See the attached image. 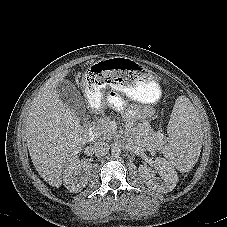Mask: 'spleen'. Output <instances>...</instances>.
Wrapping results in <instances>:
<instances>
[{
  "mask_svg": "<svg viewBox=\"0 0 227 227\" xmlns=\"http://www.w3.org/2000/svg\"><path fill=\"white\" fill-rule=\"evenodd\" d=\"M174 115L169 124L170 145L165 148L169 158L180 172L190 171L200 154L202 130L194 111V104L187 97H180L173 104Z\"/></svg>",
  "mask_w": 227,
  "mask_h": 227,
  "instance_id": "spleen-1",
  "label": "spleen"
}]
</instances>
